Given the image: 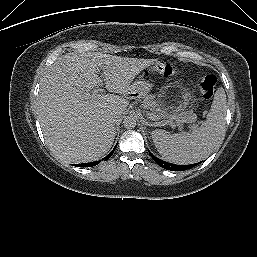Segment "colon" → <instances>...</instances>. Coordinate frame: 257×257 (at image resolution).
Segmentation results:
<instances>
[{"label": "colon", "instance_id": "colon-1", "mask_svg": "<svg viewBox=\"0 0 257 257\" xmlns=\"http://www.w3.org/2000/svg\"><path fill=\"white\" fill-rule=\"evenodd\" d=\"M151 73L159 74L165 78H170L178 73V70L167 63H155L150 67ZM217 79L213 75L204 76L199 82V90L205 100L213 97Z\"/></svg>", "mask_w": 257, "mask_h": 257}]
</instances>
